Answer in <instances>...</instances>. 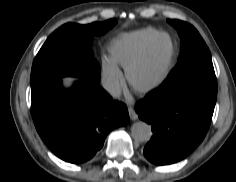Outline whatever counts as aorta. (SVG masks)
Masks as SVG:
<instances>
[{
  "mask_svg": "<svg viewBox=\"0 0 236 182\" xmlns=\"http://www.w3.org/2000/svg\"><path fill=\"white\" fill-rule=\"evenodd\" d=\"M131 134L135 141L146 142L151 138V127L143 121L135 122L131 127Z\"/></svg>",
  "mask_w": 236,
  "mask_h": 182,
  "instance_id": "1",
  "label": "aorta"
}]
</instances>
